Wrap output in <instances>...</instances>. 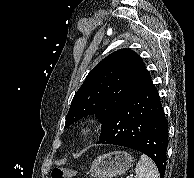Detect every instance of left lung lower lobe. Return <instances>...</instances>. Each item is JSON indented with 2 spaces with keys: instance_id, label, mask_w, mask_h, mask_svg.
Segmentation results:
<instances>
[{
  "instance_id": "0a47b994",
  "label": "left lung lower lobe",
  "mask_w": 194,
  "mask_h": 178,
  "mask_svg": "<svg viewBox=\"0 0 194 178\" xmlns=\"http://www.w3.org/2000/svg\"><path fill=\"white\" fill-rule=\"evenodd\" d=\"M97 144L138 150L155 162L161 178L164 177L168 121L153 84L128 97L107 115Z\"/></svg>"
}]
</instances>
